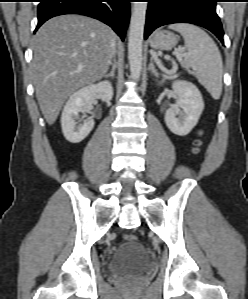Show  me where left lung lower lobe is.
I'll use <instances>...</instances> for the list:
<instances>
[{
    "label": "left lung lower lobe",
    "mask_w": 248,
    "mask_h": 299,
    "mask_svg": "<svg viewBox=\"0 0 248 299\" xmlns=\"http://www.w3.org/2000/svg\"><path fill=\"white\" fill-rule=\"evenodd\" d=\"M218 0H147L148 10L144 38L156 28L173 23L202 26L223 41V28L216 13Z\"/></svg>",
    "instance_id": "1"
}]
</instances>
